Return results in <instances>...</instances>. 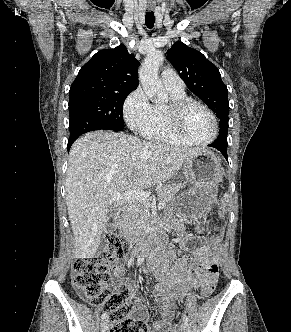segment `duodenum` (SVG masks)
<instances>
[{"label": "duodenum", "instance_id": "1", "mask_svg": "<svg viewBox=\"0 0 291 332\" xmlns=\"http://www.w3.org/2000/svg\"><path fill=\"white\" fill-rule=\"evenodd\" d=\"M162 227V223L158 220H155L151 223V228L153 230L159 229ZM138 238L133 236L131 237V242H137ZM163 245L162 241H158L156 244V251L159 250ZM136 255L139 257H150L154 253V250L150 247V245L145 241H138V249L136 250Z\"/></svg>", "mask_w": 291, "mask_h": 332}]
</instances>
